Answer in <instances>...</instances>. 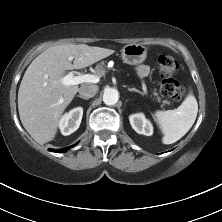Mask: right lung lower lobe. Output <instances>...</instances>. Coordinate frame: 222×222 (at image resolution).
<instances>
[{"label":"right lung lower lobe","instance_id":"1","mask_svg":"<svg viewBox=\"0 0 222 222\" xmlns=\"http://www.w3.org/2000/svg\"><path fill=\"white\" fill-rule=\"evenodd\" d=\"M75 145H73L72 147H74ZM68 149V148H67ZM67 149H60V150H55V149H49V151L51 152H64L66 151Z\"/></svg>","mask_w":222,"mask_h":222}]
</instances>
